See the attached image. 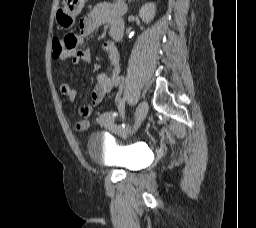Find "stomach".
<instances>
[{"instance_id":"obj_1","label":"stomach","mask_w":256,"mask_h":228,"mask_svg":"<svg viewBox=\"0 0 256 228\" xmlns=\"http://www.w3.org/2000/svg\"><path fill=\"white\" fill-rule=\"evenodd\" d=\"M87 0H63L62 7L57 11L55 20L57 25L63 29L74 26L76 16L83 9Z\"/></svg>"}]
</instances>
